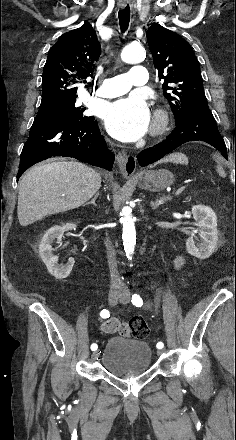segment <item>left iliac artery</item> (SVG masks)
Instances as JSON below:
<instances>
[{
	"label": "left iliac artery",
	"instance_id": "obj_1",
	"mask_svg": "<svg viewBox=\"0 0 236 440\" xmlns=\"http://www.w3.org/2000/svg\"><path fill=\"white\" fill-rule=\"evenodd\" d=\"M131 301L136 307H141L143 305L142 298L137 294L132 295ZM156 346L158 349H162L164 347V344L162 342H158Z\"/></svg>",
	"mask_w": 236,
	"mask_h": 440
}]
</instances>
